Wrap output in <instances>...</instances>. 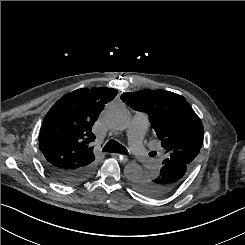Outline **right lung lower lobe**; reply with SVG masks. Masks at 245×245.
<instances>
[{
	"label": "right lung lower lobe",
	"instance_id": "1",
	"mask_svg": "<svg viewBox=\"0 0 245 245\" xmlns=\"http://www.w3.org/2000/svg\"><path fill=\"white\" fill-rule=\"evenodd\" d=\"M46 170L59 182L66 185H74L85 181L94 171V163L79 170H63L43 162Z\"/></svg>",
	"mask_w": 245,
	"mask_h": 245
}]
</instances>
